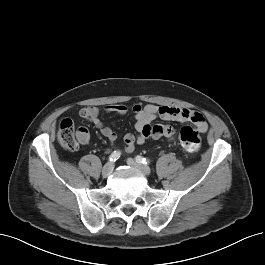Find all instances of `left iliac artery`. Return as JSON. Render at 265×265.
Segmentation results:
<instances>
[{
	"label": "left iliac artery",
	"mask_w": 265,
	"mask_h": 265,
	"mask_svg": "<svg viewBox=\"0 0 265 265\" xmlns=\"http://www.w3.org/2000/svg\"><path fill=\"white\" fill-rule=\"evenodd\" d=\"M136 162L140 163V164H144V165H147L150 163V161L142 156H136Z\"/></svg>",
	"instance_id": "left-iliac-artery-1"
}]
</instances>
